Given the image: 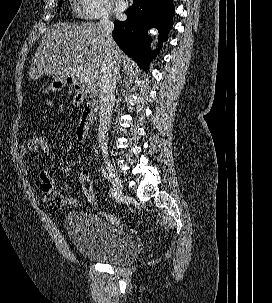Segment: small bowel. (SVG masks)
<instances>
[{"instance_id":"small-bowel-1","label":"small bowel","mask_w":272,"mask_h":303,"mask_svg":"<svg viewBox=\"0 0 272 303\" xmlns=\"http://www.w3.org/2000/svg\"><path fill=\"white\" fill-rule=\"evenodd\" d=\"M33 141V138H29L24 144L19 147L18 155L20 158L25 159L28 155L35 153L33 149ZM23 171L25 175H29V169L26 166L23 167ZM37 180L39 183L40 191L44 195L54 190V178L47 170H40L37 175Z\"/></svg>"}]
</instances>
